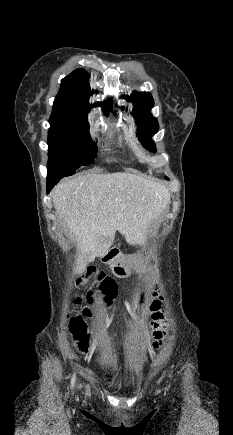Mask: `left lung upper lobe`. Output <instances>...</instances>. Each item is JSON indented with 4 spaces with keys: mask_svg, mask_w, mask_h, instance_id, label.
<instances>
[{
    "mask_svg": "<svg viewBox=\"0 0 233 435\" xmlns=\"http://www.w3.org/2000/svg\"><path fill=\"white\" fill-rule=\"evenodd\" d=\"M126 99L131 101L134 106L132 114L135 123L138 125L137 135L147 149L155 152V144L151 137L158 132L159 125L157 119L150 114V110L154 106L151 94L149 92L134 91L131 96L126 97ZM111 105L112 100H110V108Z\"/></svg>",
    "mask_w": 233,
    "mask_h": 435,
    "instance_id": "1",
    "label": "left lung upper lobe"
}]
</instances>
